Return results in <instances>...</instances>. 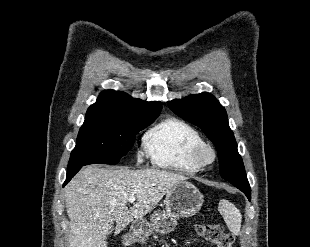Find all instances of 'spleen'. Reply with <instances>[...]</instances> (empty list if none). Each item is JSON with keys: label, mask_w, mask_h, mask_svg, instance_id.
Segmentation results:
<instances>
[{"label": "spleen", "mask_w": 310, "mask_h": 247, "mask_svg": "<svg viewBox=\"0 0 310 247\" xmlns=\"http://www.w3.org/2000/svg\"><path fill=\"white\" fill-rule=\"evenodd\" d=\"M219 212L224 218L228 229L234 235L240 234L242 215L234 204L228 200H221L218 207Z\"/></svg>", "instance_id": "spleen-1"}]
</instances>
